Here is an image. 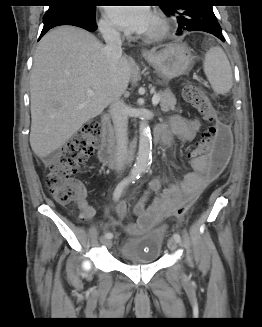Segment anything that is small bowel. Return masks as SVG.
Here are the masks:
<instances>
[{
	"instance_id": "obj_1",
	"label": "small bowel",
	"mask_w": 262,
	"mask_h": 327,
	"mask_svg": "<svg viewBox=\"0 0 262 327\" xmlns=\"http://www.w3.org/2000/svg\"><path fill=\"white\" fill-rule=\"evenodd\" d=\"M202 127L199 119H186L181 116L173 117L169 125L162 124L157 129V139L166 148L171 147L174 139L181 142L193 141ZM189 160H195L193 170L180 180L152 179L141 199L134 206L137 221L128 226L131 233H141L155 227L163 218L170 216V210L176 209L184 200L193 201L205 188L211 179L208 171V158L203 153H189ZM156 194L149 206L146 203L150 195ZM83 219H91L93 208L88 204L85 193L77 201Z\"/></svg>"
}]
</instances>
